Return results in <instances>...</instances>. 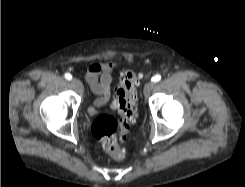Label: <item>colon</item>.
I'll return each mask as SVG.
<instances>
[{"label":"colon","instance_id":"obj_1","mask_svg":"<svg viewBox=\"0 0 245 187\" xmlns=\"http://www.w3.org/2000/svg\"><path fill=\"white\" fill-rule=\"evenodd\" d=\"M138 82L139 75L135 71H122L112 104L118 117L101 114L92 124L93 135L102 143L104 149L116 159H123L126 156L125 151L119 147L118 139L125 136L136 118L135 88Z\"/></svg>","mask_w":245,"mask_h":187}]
</instances>
